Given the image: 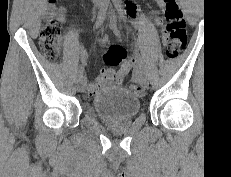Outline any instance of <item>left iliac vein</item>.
<instances>
[{"label":"left iliac vein","instance_id":"left-iliac-vein-1","mask_svg":"<svg viewBox=\"0 0 231 177\" xmlns=\"http://www.w3.org/2000/svg\"><path fill=\"white\" fill-rule=\"evenodd\" d=\"M140 83H141L142 86L148 87L149 79H148L147 75L144 72H142L141 75H140Z\"/></svg>","mask_w":231,"mask_h":177}]
</instances>
